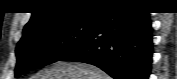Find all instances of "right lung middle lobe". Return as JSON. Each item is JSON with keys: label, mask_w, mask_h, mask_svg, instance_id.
Instances as JSON below:
<instances>
[{"label": "right lung middle lobe", "mask_w": 177, "mask_h": 79, "mask_svg": "<svg viewBox=\"0 0 177 79\" xmlns=\"http://www.w3.org/2000/svg\"><path fill=\"white\" fill-rule=\"evenodd\" d=\"M96 19H77L49 25L23 35L16 48L15 77L59 61L88 38Z\"/></svg>", "instance_id": "1"}]
</instances>
